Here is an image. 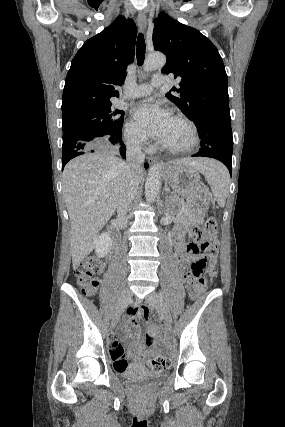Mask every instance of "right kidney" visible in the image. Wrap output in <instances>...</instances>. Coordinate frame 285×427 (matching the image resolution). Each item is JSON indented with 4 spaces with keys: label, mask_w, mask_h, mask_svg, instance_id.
<instances>
[{
    "label": "right kidney",
    "mask_w": 285,
    "mask_h": 427,
    "mask_svg": "<svg viewBox=\"0 0 285 427\" xmlns=\"http://www.w3.org/2000/svg\"><path fill=\"white\" fill-rule=\"evenodd\" d=\"M112 247V240L110 236L103 232L97 239L95 244V252L99 257L106 256Z\"/></svg>",
    "instance_id": "obj_1"
}]
</instances>
